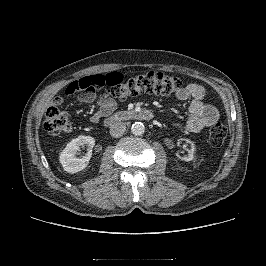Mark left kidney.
I'll return each instance as SVG.
<instances>
[{"mask_svg":"<svg viewBox=\"0 0 266 266\" xmlns=\"http://www.w3.org/2000/svg\"><path fill=\"white\" fill-rule=\"evenodd\" d=\"M191 143V149L188 151V155H185V156H183V157H180V159L181 160H184V161H191V160H193V158H194V145L192 144V142H190Z\"/></svg>","mask_w":266,"mask_h":266,"instance_id":"left-kidney-1","label":"left kidney"}]
</instances>
